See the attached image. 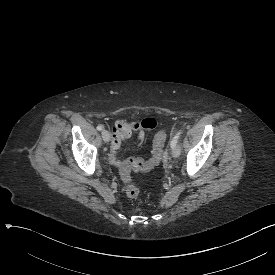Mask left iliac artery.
<instances>
[{
    "mask_svg": "<svg viewBox=\"0 0 275 275\" xmlns=\"http://www.w3.org/2000/svg\"><path fill=\"white\" fill-rule=\"evenodd\" d=\"M181 133H182V130H180V131L173 137V139H172L171 142H170L171 148H173V147L176 146V144H177V142H178V139H179Z\"/></svg>",
    "mask_w": 275,
    "mask_h": 275,
    "instance_id": "44dca946",
    "label": "left iliac artery"
}]
</instances>
